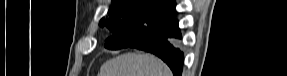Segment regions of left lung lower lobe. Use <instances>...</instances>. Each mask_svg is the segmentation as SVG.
Masks as SVG:
<instances>
[{
    "instance_id": "obj_1",
    "label": "left lung lower lobe",
    "mask_w": 287,
    "mask_h": 76,
    "mask_svg": "<svg viewBox=\"0 0 287 76\" xmlns=\"http://www.w3.org/2000/svg\"><path fill=\"white\" fill-rule=\"evenodd\" d=\"M181 38L174 16L127 47L138 48L160 57L171 68L174 76H181L183 53L174 39ZM126 48V47H125Z\"/></svg>"
}]
</instances>
